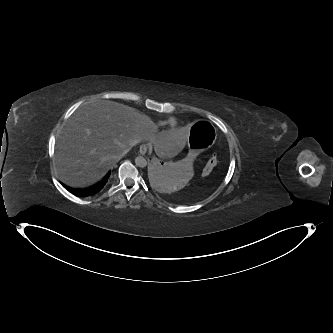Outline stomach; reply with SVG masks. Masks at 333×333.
<instances>
[{
  "instance_id": "stomach-1",
  "label": "stomach",
  "mask_w": 333,
  "mask_h": 333,
  "mask_svg": "<svg viewBox=\"0 0 333 333\" xmlns=\"http://www.w3.org/2000/svg\"><path fill=\"white\" fill-rule=\"evenodd\" d=\"M189 154L180 162H165L155 158L147 174L151 184L163 193H176L190 184L194 178L192 169L195 158L212 147L216 141L214 126L207 121H198L191 127Z\"/></svg>"
}]
</instances>
